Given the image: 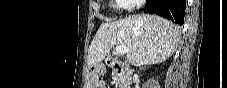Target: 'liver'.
<instances>
[{
  "instance_id": "6515ba94",
  "label": "liver",
  "mask_w": 227,
  "mask_h": 88,
  "mask_svg": "<svg viewBox=\"0 0 227 88\" xmlns=\"http://www.w3.org/2000/svg\"><path fill=\"white\" fill-rule=\"evenodd\" d=\"M180 27L157 15L138 14L103 23L88 51V64L98 65L116 45L128 49L127 61L134 66L166 61L176 51Z\"/></svg>"
}]
</instances>
